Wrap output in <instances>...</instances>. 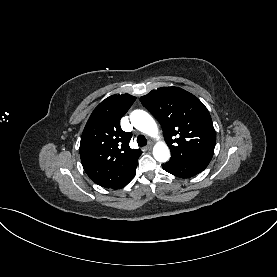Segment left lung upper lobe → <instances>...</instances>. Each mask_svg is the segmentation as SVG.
Wrapping results in <instances>:
<instances>
[{"instance_id": "obj_1", "label": "left lung upper lobe", "mask_w": 277, "mask_h": 277, "mask_svg": "<svg viewBox=\"0 0 277 277\" xmlns=\"http://www.w3.org/2000/svg\"><path fill=\"white\" fill-rule=\"evenodd\" d=\"M160 122L165 142L173 159H212L216 133L204 104L193 94L178 87H162L140 98Z\"/></svg>"}]
</instances>
